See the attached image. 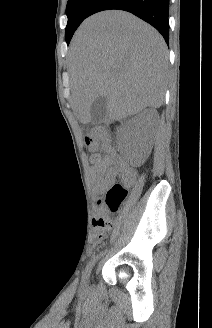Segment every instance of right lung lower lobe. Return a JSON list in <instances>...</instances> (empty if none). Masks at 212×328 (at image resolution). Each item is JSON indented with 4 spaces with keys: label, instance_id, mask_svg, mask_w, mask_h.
Segmentation results:
<instances>
[{
    "label": "right lung lower lobe",
    "instance_id": "98d812e1",
    "mask_svg": "<svg viewBox=\"0 0 212 328\" xmlns=\"http://www.w3.org/2000/svg\"><path fill=\"white\" fill-rule=\"evenodd\" d=\"M128 11L155 27L168 43L169 0H96L88 16L104 10Z\"/></svg>",
    "mask_w": 212,
    "mask_h": 328
}]
</instances>
